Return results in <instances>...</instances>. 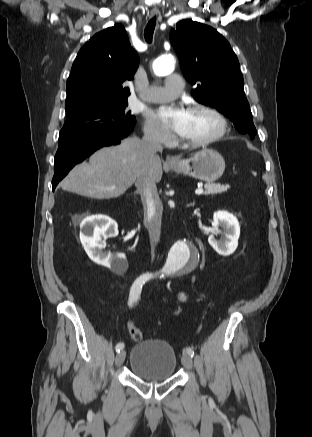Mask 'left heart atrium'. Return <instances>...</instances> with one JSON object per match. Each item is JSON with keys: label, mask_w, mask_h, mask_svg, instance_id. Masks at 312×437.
<instances>
[{"label": "left heart atrium", "mask_w": 312, "mask_h": 437, "mask_svg": "<svg viewBox=\"0 0 312 437\" xmlns=\"http://www.w3.org/2000/svg\"><path fill=\"white\" fill-rule=\"evenodd\" d=\"M191 112L183 107L178 106H162L156 113V118L160 123L173 130L180 136L187 131Z\"/></svg>", "instance_id": "left-heart-atrium-1"}]
</instances>
